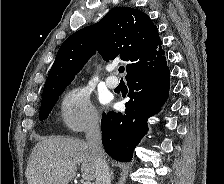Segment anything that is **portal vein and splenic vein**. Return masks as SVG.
<instances>
[{
	"instance_id": "portal-vein-and-splenic-vein-1",
	"label": "portal vein and splenic vein",
	"mask_w": 224,
	"mask_h": 184,
	"mask_svg": "<svg viewBox=\"0 0 224 184\" xmlns=\"http://www.w3.org/2000/svg\"><path fill=\"white\" fill-rule=\"evenodd\" d=\"M83 184H92L90 181H86Z\"/></svg>"
}]
</instances>
